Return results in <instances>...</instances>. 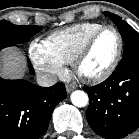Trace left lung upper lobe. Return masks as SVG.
<instances>
[{"label": "left lung upper lobe", "mask_w": 139, "mask_h": 139, "mask_svg": "<svg viewBox=\"0 0 139 139\" xmlns=\"http://www.w3.org/2000/svg\"><path fill=\"white\" fill-rule=\"evenodd\" d=\"M104 15L109 17L119 28V32L124 39V53L139 47V34L127 22L113 13L105 12Z\"/></svg>", "instance_id": "5c2ea615"}]
</instances>
